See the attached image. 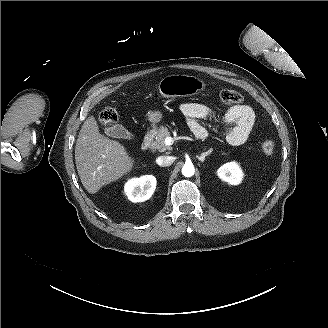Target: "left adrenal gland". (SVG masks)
Segmentation results:
<instances>
[{
  "mask_svg": "<svg viewBox=\"0 0 328 328\" xmlns=\"http://www.w3.org/2000/svg\"><path fill=\"white\" fill-rule=\"evenodd\" d=\"M210 154H211L210 151L205 152V153H203L201 156H198V160H199L201 163H204L205 158H206V157H209Z\"/></svg>",
  "mask_w": 328,
  "mask_h": 328,
  "instance_id": "1",
  "label": "left adrenal gland"
}]
</instances>
